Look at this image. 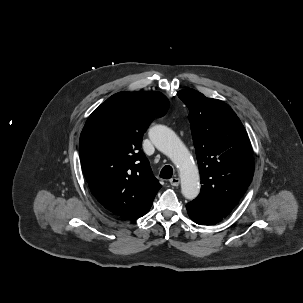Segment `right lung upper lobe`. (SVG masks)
I'll list each match as a JSON object with an SVG mask.
<instances>
[{"label": "right lung upper lobe", "instance_id": "cb5924a9", "mask_svg": "<svg viewBox=\"0 0 303 303\" xmlns=\"http://www.w3.org/2000/svg\"><path fill=\"white\" fill-rule=\"evenodd\" d=\"M169 101L160 92H119L97 107L80 135V160L92 195L113 215H145L161 188L141 151L142 137Z\"/></svg>", "mask_w": 303, "mask_h": 303}]
</instances>
